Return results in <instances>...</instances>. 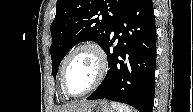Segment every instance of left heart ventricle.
Returning <instances> with one entry per match:
<instances>
[{
	"instance_id": "left-heart-ventricle-1",
	"label": "left heart ventricle",
	"mask_w": 193,
	"mask_h": 112,
	"mask_svg": "<svg viewBox=\"0 0 193 112\" xmlns=\"http://www.w3.org/2000/svg\"><path fill=\"white\" fill-rule=\"evenodd\" d=\"M97 72V61L92 52L83 50L70 60L66 70V82L73 94L86 90L93 82Z\"/></svg>"
}]
</instances>
